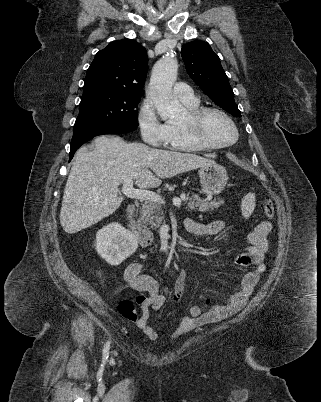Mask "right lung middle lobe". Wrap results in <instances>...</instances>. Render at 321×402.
<instances>
[{
	"instance_id": "obj_1",
	"label": "right lung middle lobe",
	"mask_w": 321,
	"mask_h": 402,
	"mask_svg": "<svg viewBox=\"0 0 321 402\" xmlns=\"http://www.w3.org/2000/svg\"><path fill=\"white\" fill-rule=\"evenodd\" d=\"M141 96L104 89H84L75 127L124 124L138 127L136 110Z\"/></svg>"
}]
</instances>
